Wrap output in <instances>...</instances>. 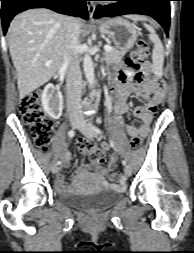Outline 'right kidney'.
<instances>
[{
  "mask_svg": "<svg viewBox=\"0 0 194 253\" xmlns=\"http://www.w3.org/2000/svg\"><path fill=\"white\" fill-rule=\"evenodd\" d=\"M44 111L53 119H59L63 110V97L52 84H47L41 95Z\"/></svg>",
  "mask_w": 194,
  "mask_h": 253,
  "instance_id": "ca27d5eb",
  "label": "right kidney"
}]
</instances>
